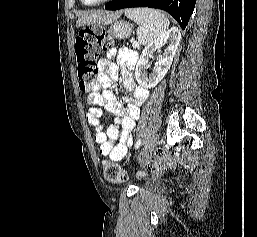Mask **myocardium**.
<instances>
[{
	"mask_svg": "<svg viewBox=\"0 0 257 237\" xmlns=\"http://www.w3.org/2000/svg\"><path fill=\"white\" fill-rule=\"evenodd\" d=\"M111 0H99L97 2H94V3H87L85 2L84 0H81V2L86 5V6H97V5H101V4H104V3H107Z\"/></svg>",
	"mask_w": 257,
	"mask_h": 237,
	"instance_id": "f54148a6",
	"label": "myocardium"
}]
</instances>
